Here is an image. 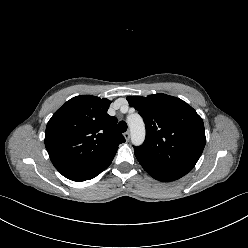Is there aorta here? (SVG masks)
Returning a JSON list of instances; mask_svg holds the SVG:
<instances>
[{"mask_svg":"<svg viewBox=\"0 0 248 248\" xmlns=\"http://www.w3.org/2000/svg\"><path fill=\"white\" fill-rule=\"evenodd\" d=\"M128 125L131 132V141L134 145H141L145 138V126L138 114L128 117Z\"/></svg>","mask_w":248,"mask_h":248,"instance_id":"762f6f07","label":"aorta"}]
</instances>
